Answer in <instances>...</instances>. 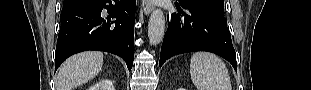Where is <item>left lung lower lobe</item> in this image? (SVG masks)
Wrapping results in <instances>:
<instances>
[{
  "instance_id": "left-lung-lower-lobe-1",
  "label": "left lung lower lobe",
  "mask_w": 311,
  "mask_h": 90,
  "mask_svg": "<svg viewBox=\"0 0 311 90\" xmlns=\"http://www.w3.org/2000/svg\"><path fill=\"white\" fill-rule=\"evenodd\" d=\"M175 5L178 13L167 17L168 28L159 66L174 55L208 51L228 60L236 70V55L224 15L197 6L181 5L179 2H175Z\"/></svg>"
}]
</instances>
